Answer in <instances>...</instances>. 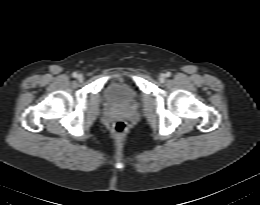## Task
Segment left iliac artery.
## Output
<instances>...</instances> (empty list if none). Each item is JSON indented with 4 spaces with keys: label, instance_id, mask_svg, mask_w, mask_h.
Segmentation results:
<instances>
[{
    "label": "left iliac artery",
    "instance_id": "left-iliac-artery-1",
    "mask_svg": "<svg viewBox=\"0 0 260 205\" xmlns=\"http://www.w3.org/2000/svg\"><path fill=\"white\" fill-rule=\"evenodd\" d=\"M171 76V73L170 72H167L166 73V77H170Z\"/></svg>",
    "mask_w": 260,
    "mask_h": 205
}]
</instances>
